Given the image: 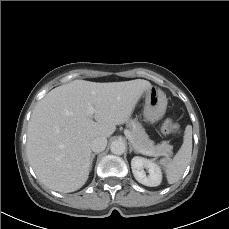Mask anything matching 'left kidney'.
I'll return each instance as SVG.
<instances>
[{
    "label": "left kidney",
    "instance_id": "1",
    "mask_svg": "<svg viewBox=\"0 0 229 229\" xmlns=\"http://www.w3.org/2000/svg\"><path fill=\"white\" fill-rule=\"evenodd\" d=\"M131 168L135 179L139 183L149 187L160 185L162 181V172L160 167L153 161L135 156L131 160ZM144 169L148 171V176L146 175Z\"/></svg>",
    "mask_w": 229,
    "mask_h": 229
}]
</instances>
